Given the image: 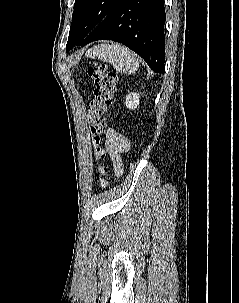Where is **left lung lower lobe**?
<instances>
[{"mask_svg": "<svg viewBox=\"0 0 239 303\" xmlns=\"http://www.w3.org/2000/svg\"><path fill=\"white\" fill-rule=\"evenodd\" d=\"M165 20L164 0H118L80 45L117 41L139 54L153 71L164 73Z\"/></svg>", "mask_w": 239, "mask_h": 303, "instance_id": "0a47b994", "label": "left lung lower lobe"}]
</instances>
